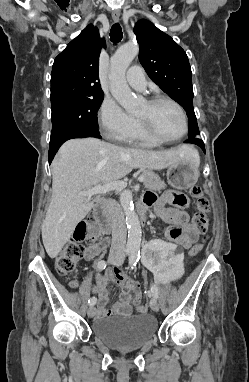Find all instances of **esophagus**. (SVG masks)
<instances>
[{"instance_id": "obj_1", "label": "esophagus", "mask_w": 249, "mask_h": 382, "mask_svg": "<svg viewBox=\"0 0 249 382\" xmlns=\"http://www.w3.org/2000/svg\"><path fill=\"white\" fill-rule=\"evenodd\" d=\"M112 18H113V20H114L115 22H118L119 19H120V10H118V9L113 10V12H112Z\"/></svg>"}]
</instances>
